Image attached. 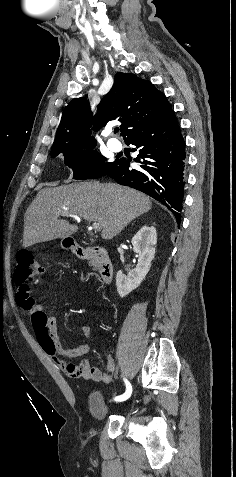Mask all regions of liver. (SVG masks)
<instances>
[{
    "mask_svg": "<svg viewBox=\"0 0 236 477\" xmlns=\"http://www.w3.org/2000/svg\"><path fill=\"white\" fill-rule=\"evenodd\" d=\"M151 206L145 194L114 183L47 187L38 192L25 213L23 247L75 234L77 225L58 219L63 211L99 223L101 237L110 240Z\"/></svg>",
    "mask_w": 236,
    "mask_h": 477,
    "instance_id": "obj_1",
    "label": "liver"
}]
</instances>
